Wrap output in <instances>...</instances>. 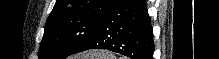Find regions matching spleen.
Returning <instances> with one entry per match:
<instances>
[{
    "label": "spleen",
    "mask_w": 219,
    "mask_h": 59,
    "mask_svg": "<svg viewBox=\"0 0 219 59\" xmlns=\"http://www.w3.org/2000/svg\"><path fill=\"white\" fill-rule=\"evenodd\" d=\"M85 58L86 59H108L106 55L104 54H98V53H92V52L86 53Z\"/></svg>",
    "instance_id": "spleen-1"
}]
</instances>
